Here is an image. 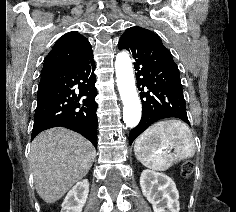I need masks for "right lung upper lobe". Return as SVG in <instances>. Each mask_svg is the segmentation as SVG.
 <instances>
[{
    "label": "right lung upper lobe",
    "mask_w": 236,
    "mask_h": 212,
    "mask_svg": "<svg viewBox=\"0 0 236 212\" xmlns=\"http://www.w3.org/2000/svg\"><path fill=\"white\" fill-rule=\"evenodd\" d=\"M91 47L88 40L76 31L64 34L45 57L42 71L60 68L81 57Z\"/></svg>",
    "instance_id": "right-lung-upper-lobe-1"
}]
</instances>
